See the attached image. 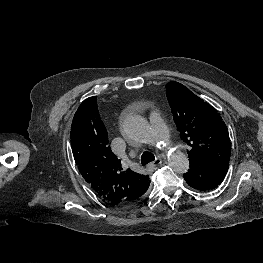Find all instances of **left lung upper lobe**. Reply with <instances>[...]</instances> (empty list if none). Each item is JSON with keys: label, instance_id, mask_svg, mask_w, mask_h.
I'll list each match as a JSON object with an SVG mask.
<instances>
[{"label": "left lung upper lobe", "instance_id": "obj_1", "mask_svg": "<svg viewBox=\"0 0 263 263\" xmlns=\"http://www.w3.org/2000/svg\"><path fill=\"white\" fill-rule=\"evenodd\" d=\"M166 96L181 139L190 146V163H229V133L216 109L178 82L166 85Z\"/></svg>", "mask_w": 263, "mask_h": 263}]
</instances>
